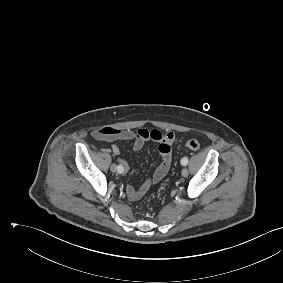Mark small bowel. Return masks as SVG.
<instances>
[{
  "label": "small bowel",
  "instance_id": "obj_1",
  "mask_svg": "<svg viewBox=\"0 0 283 283\" xmlns=\"http://www.w3.org/2000/svg\"><path fill=\"white\" fill-rule=\"evenodd\" d=\"M94 139L98 141L111 142V151L114 155H120V149L115 143L117 141H131L133 149L138 151L141 150L145 143L149 140H153L159 143V152L161 156V162L155 172L146 179L143 184L137 188L132 186H126V193L130 200L140 199L147 190L154 184L158 183L167 174L171 164V150L172 146L176 141V136L173 132L162 133L159 130H148L141 128L137 131L122 130L112 127H103L95 130L92 133ZM118 162L124 168V174L130 175L128 164L121 158H118Z\"/></svg>",
  "mask_w": 283,
  "mask_h": 283
}]
</instances>
